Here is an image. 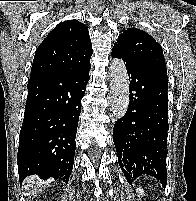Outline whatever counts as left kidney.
Returning a JSON list of instances; mask_svg holds the SVG:
<instances>
[{"mask_svg": "<svg viewBox=\"0 0 196 201\" xmlns=\"http://www.w3.org/2000/svg\"><path fill=\"white\" fill-rule=\"evenodd\" d=\"M136 192L139 194V196L141 195V196H144V190L141 188V187H138L137 189H136Z\"/></svg>", "mask_w": 196, "mask_h": 201, "instance_id": "left-kidney-1", "label": "left kidney"}]
</instances>
